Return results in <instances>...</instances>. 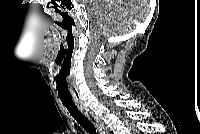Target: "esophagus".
Masks as SVG:
<instances>
[{
    "instance_id": "obj_1",
    "label": "esophagus",
    "mask_w": 200,
    "mask_h": 134,
    "mask_svg": "<svg viewBox=\"0 0 200 134\" xmlns=\"http://www.w3.org/2000/svg\"><path fill=\"white\" fill-rule=\"evenodd\" d=\"M79 110L87 117V119L96 127L100 134H109L107 127L87 106L83 103H76Z\"/></svg>"
}]
</instances>
